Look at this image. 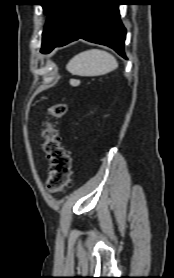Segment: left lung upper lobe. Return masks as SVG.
Here are the masks:
<instances>
[{"mask_svg": "<svg viewBox=\"0 0 174 278\" xmlns=\"http://www.w3.org/2000/svg\"><path fill=\"white\" fill-rule=\"evenodd\" d=\"M44 13L48 15L42 38L41 52L50 50L63 36L77 0H43Z\"/></svg>", "mask_w": 174, "mask_h": 278, "instance_id": "5c2ea615", "label": "left lung upper lobe"}]
</instances>
